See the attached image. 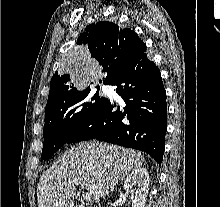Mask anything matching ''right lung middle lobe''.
<instances>
[{"mask_svg":"<svg viewBox=\"0 0 220 207\" xmlns=\"http://www.w3.org/2000/svg\"><path fill=\"white\" fill-rule=\"evenodd\" d=\"M87 87L67 94L54 102L45 112L44 144L42 160H47L65 143L71 135L89 120L104 104L106 98L98 96Z\"/></svg>","mask_w":220,"mask_h":207,"instance_id":"right-lung-middle-lobe-1","label":"right lung middle lobe"}]
</instances>
